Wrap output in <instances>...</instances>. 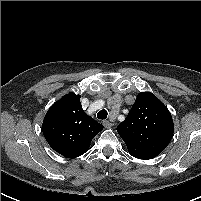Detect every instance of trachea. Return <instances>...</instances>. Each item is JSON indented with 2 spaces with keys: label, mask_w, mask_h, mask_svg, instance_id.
Listing matches in <instances>:
<instances>
[{
  "label": "trachea",
  "mask_w": 201,
  "mask_h": 201,
  "mask_svg": "<svg viewBox=\"0 0 201 201\" xmlns=\"http://www.w3.org/2000/svg\"><path fill=\"white\" fill-rule=\"evenodd\" d=\"M107 115H108L107 111L105 109H103V110L98 112L97 118L101 119V120H104V119L107 118Z\"/></svg>",
  "instance_id": "trachea-1"
}]
</instances>
